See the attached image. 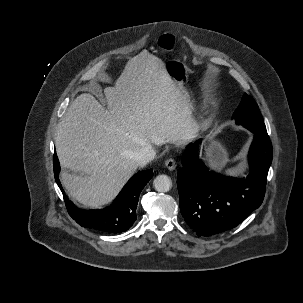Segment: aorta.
Instances as JSON below:
<instances>
[{
  "instance_id": "obj_1",
  "label": "aorta",
  "mask_w": 303,
  "mask_h": 303,
  "mask_svg": "<svg viewBox=\"0 0 303 303\" xmlns=\"http://www.w3.org/2000/svg\"><path fill=\"white\" fill-rule=\"evenodd\" d=\"M153 185L156 191L158 192H167L171 189L172 186V182L170 177H168L167 175H158L154 181H153Z\"/></svg>"
}]
</instances>
